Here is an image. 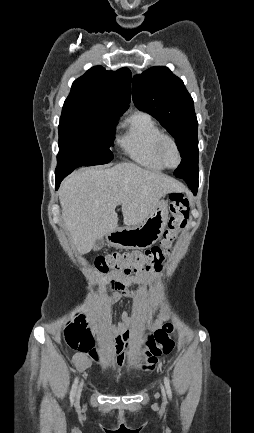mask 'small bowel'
<instances>
[{"label":"small bowel","instance_id":"obj_1","mask_svg":"<svg viewBox=\"0 0 254 433\" xmlns=\"http://www.w3.org/2000/svg\"><path fill=\"white\" fill-rule=\"evenodd\" d=\"M146 278H148L146 275L141 276L138 280L121 278L119 275H116L114 280L111 282V287L120 290L124 296L130 297L133 296V292L129 289L130 284L136 281L141 282ZM167 317L168 310L166 308H163L157 318L151 323H144L136 315H130L127 312L121 313L120 320L116 323H112L110 326V330L114 337V343L107 346V349L115 356L117 369L124 367L127 362V349L132 336L141 329H154L160 326ZM73 360L79 371H86L91 366L92 361L101 363L102 358L98 352L91 355L76 353Z\"/></svg>","mask_w":254,"mask_h":433}]
</instances>
